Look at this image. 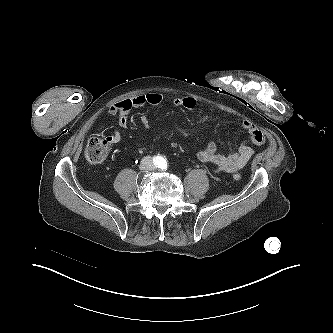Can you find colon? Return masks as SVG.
Wrapping results in <instances>:
<instances>
[{
    "mask_svg": "<svg viewBox=\"0 0 333 333\" xmlns=\"http://www.w3.org/2000/svg\"><path fill=\"white\" fill-rule=\"evenodd\" d=\"M114 140L112 137H92L88 140L85 148V158L91 164H100L104 162L111 151ZM235 180H239L241 175L235 173Z\"/></svg>",
    "mask_w": 333,
    "mask_h": 333,
    "instance_id": "obj_1",
    "label": "colon"
}]
</instances>
